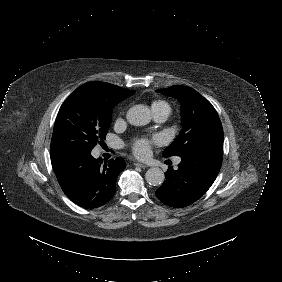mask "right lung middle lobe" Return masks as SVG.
Masks as SVG:
<instances>
[{
  "mask_svg": "<svg viewBox=\"0 0 282 282\" xmlns=\"http://www.w3.org/2000/svg\"><path fill=\"white\" fill-rule=\"evenodd\" d=\"M134 93L135 90L112 84L77 88L58 112L51 140V159L91 151L105 139L114 106Z\"/></svg>",
  "mask_w": 282,
  "mask_h": 282,
  "instance_id": "right-lung-middle-lobe-1",
  "label": "right lung middle lobe"
}]
</instances>
